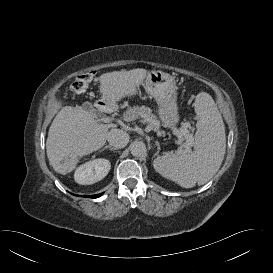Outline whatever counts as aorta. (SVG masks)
<instances>
[{
  "instance_id": "obj_1",
  "label": "aorta",
  "mask_w": 273,
  "mask_h": 273,
  "mask_svg": "<svg viewBox=\"0 0 273 273\" xmlns=\"http://www.w3.org/2000/svg\"><path fill=\"white\" fill-rule=\"evenodd\" d=\"M131 154L135 157H141L146 154V145L141 141H134L130 145Z\"/></svg>"
}]
</instances>
